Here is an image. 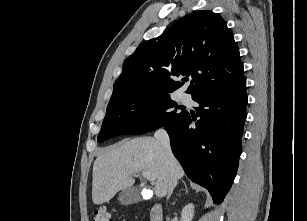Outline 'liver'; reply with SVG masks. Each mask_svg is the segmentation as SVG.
Masks as SVG:
<instances>
[{"label": "liver", "instance_id": "1", "mask_svg": "<svg viewBox=\"0 0 307 221\" xmlns=\"http://www.w3.org/2000/svg\"><path fill=\"white\" fill-rule=\"evenodd\" d=\"M151 172L156 177L154 192L162 198L168 193L171 174L176 179L184 171L165 147L153 137H139L122 141L98 155L93 165L92 200L96 205L111 200L117 192L134 184L133 176L140 172Z\"/></svg>", "mask_w": 307, "mask_h": 221}]
</instances>
